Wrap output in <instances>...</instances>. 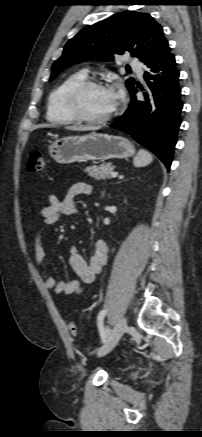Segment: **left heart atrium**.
I'll list each match as a JSON object with an SVG mask.
<instances>
[{
    "label": "left heart atrium",
    "instance_id": "39dd6f15",
    "mask_svg": "<svg viewBox=\"0 0 202 437\" xmlns=\"http://www.w3.org/2000/svg\"><path fill=\"white\" fill-rule=\"evenodd\" d=\"M114 93H115V95H116V97L118 98V93L117 92H115L114 90H112Z\"/></svg>",
    "mask_w": 202,
    "mask_h": 437
}]
</instances>
